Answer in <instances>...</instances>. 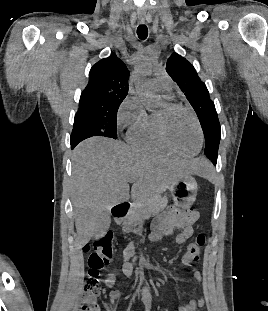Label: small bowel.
Instances as JSON below:
<instances>
[{
  "label": "small bowel",
  "instance_id": "c3829d8e",
  "mask_svg": "<svg viewBox=\"0 0 268 311\" xmlns=\"http://www.w3.org/2000/svg\"><path fill=\"white\" fill-rule=\"evenodd\" d=\"M199 215L197 212L190 211L184 214L175 212H167L158 217L153 223V231L149 235L151 241H159L164 237L171 236L176 230L179 232L175 235V242L183 245L186 241L193 236V224L198 220ZM138 253L135 252V245L133 242L129 243L123 251L122 272L127 278H133L135 265L138 260ZM194 278L201 282V273L194 271ZM141 301L145 311L152 309V293L149 287L144 286L140 292ZM121 297L119 290L110 293V299L115 301ZM204 306V298L192 299L188 303H181L179 311H198Z\"/></svg>",
  "mask_w": 268,
  "mask_h": 311
}]
</instances>
